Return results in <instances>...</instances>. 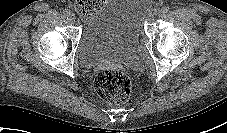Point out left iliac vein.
I'll list each match as a JSON object with an SVG mask.
<instances>
[{
	"label": "left iliac vein",
	"mask_w": 227,
	"mask_h": 133,
	"mask_svg": "<svg viewBox=\"0 0 227 133\" xmlns=\"http://www.w3.org/2000/svg\"><path fill=\"white\" fill-rule=\"evenodd\" d=\"M161 12H162V10L160 8H155L153 11L154 15H160Z\"/></svg>",
	"instance_id": "4c4485c4"
}]
</instances>
